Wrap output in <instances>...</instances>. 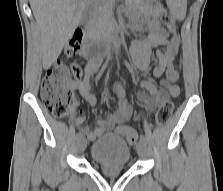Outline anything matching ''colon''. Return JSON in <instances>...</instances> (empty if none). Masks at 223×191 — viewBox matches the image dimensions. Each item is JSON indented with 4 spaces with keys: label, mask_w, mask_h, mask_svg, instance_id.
<instances>
[{
    "label": "colon",
    "mask_w": 223,
    "mask_h": 191,
    "mask_svg": "<svg viewBox=\"0 0 223 191\" xmlns=\"http://www.w3.org/2000/svg\"><path fill=\"white\" fill-rule=\"evenodd\" d=\"M164 24L166 28L173 32L175 30V23L171 17H164ZM83 36L80 33L75 34L66 45V53L68 55L75 54L81 47ZM175 63L169 62L167 70H174ZM71 76L80 80L84 76V72L80 65L73 63L68 67L62 61L56 62L51 66L42 82L41 97L44 106L56 118H66L76 107V102L72 93ZM173 111V103L166 100L156 111L154 115V123L157 126L166 124ZM117 134L124 136L127 141L135 145L138 140L137 133L128 127H118Z\"/></svg>",
    "instance_id": "colon-1"
}]
</instances>
